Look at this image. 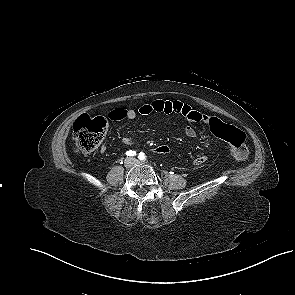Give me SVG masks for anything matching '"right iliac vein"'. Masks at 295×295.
Wrapping results in <instances>:
<instances>
[{"label":"right iliac vein","instance_id":"63e3f726","mask_svg":"<svg viewBox=\"0 0 295 295\" xmlns=\"http://www.w3.org/2000/svg\"><path fill=\"white\" fill-rule=\"evenodd\" d=\"M133 163L134 162H133V160L131 158H127L124 161V165H125L126 168H130L133 165Z\"/></svg>","mask_w":295,"mask_h":295}]
</instances>
